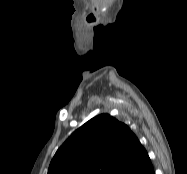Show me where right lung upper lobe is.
Returning <instances> with one entry per match:
<instances>
[{
	"instance_id": "obj_1",
	"label": "right lung upper lobe",
	"mask_w": 187,
	"mask_h": 174,
	"mask_svg": "<svg viewBox=\"0 0 187 174\" xmlns=\"http://www.w3.org/2000/svg\"><path fill=\"white\" fill-rule=\"evenodd\" d=\"M153 167L135 134L101 114L76 130L57 150L48 174H150Z\"/></svg>"
}]
</instances>
